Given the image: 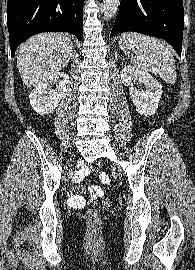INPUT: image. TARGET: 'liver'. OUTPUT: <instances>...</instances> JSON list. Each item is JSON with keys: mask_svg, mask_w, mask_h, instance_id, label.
<instances>
[{"mask_svg": "<svg viewBox=\"0 0 195 270\" xmlns=\"http://www.w3.org/2000/svg\"><path fill=\"white\" fill-rule=\"evenodd\" d=\"M73 42L63 34H37L17 49V67L23 83L31 88L64 68L72 57Z\"/></svg>", "mask_w": 195, "mask_h": 270, "instance_id": "6515ba94", "label": "liver"}]
</instances>
